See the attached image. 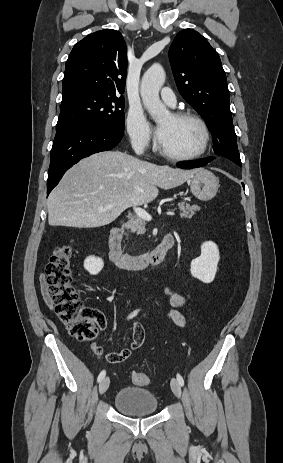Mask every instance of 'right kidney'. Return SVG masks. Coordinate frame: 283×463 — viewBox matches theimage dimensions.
Returning a JSON list of instances; mask_svg holds the SVG:
<instances>
[{
    "label": "right kidney",
    "instance_id": "ca27d5eb",
    "mask_svg": "<svg viewBox=\"0 0 283 463\" xmlns=\"http://www.w3.org/2000/svg\"><path fill=\"white\" fill-rule=\"evenodd\" d=\"M104 267V262L101 258L89 256L84 261V268L91 274L97 275Z\"/></svg>",
    "mask_w": 283,
    "mask_h": 463
}]
</instances>
